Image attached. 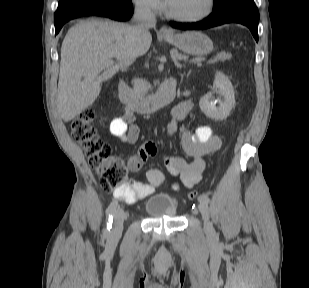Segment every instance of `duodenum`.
<instances>
[{
    "label": "duodenum",
    "mask_w": 309,
    "mask_h": 288,
    "mask_svg": "<svg viewBox=\"0 0 309 288\" xmlns=\"http://www.w3.org/2000/svg\"><path fill=\"white\" fill-rule=\"evenodd\" d=\"M118 93L123 105L141 114L157 111L168 105L175 96V82L170 80L162 84L156 94L138 98L124 81L118 84Z\"/></svg>",
    "instance_id": "obj_1"
}]
</instances>
